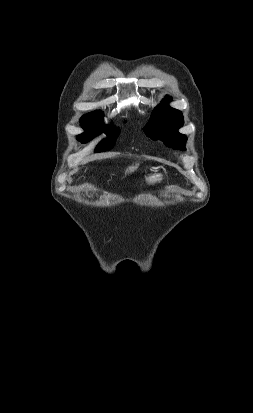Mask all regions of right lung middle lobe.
<instances>
[{
  "label": "right lung middle lobe",
  "mask_w": 253,
  "mask_h": 413,
  "mask_svg": "<svg viewBox=\"0 0 253 413\" xmlns=\"http://www.w3.org/2000/svg\"><path fill=\"white\" fill-rule=\"evenodd\" d=\"M85 132L77 136V140L86 143L90 141L94 136L105 132L107 133V138L103 139L99 145L96 147L95 152L108 151L113 148L115 140L117 139L120 129L114 128L113 130H108L109 128L103 123L98 124H82Z\"/></svg>",
  "instance_id": "right-lung-middle-lobe-1"
}]
</instances>
